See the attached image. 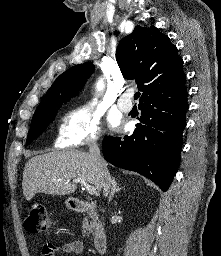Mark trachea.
Wrapping results in <instances>:
<instances>
[{"label": "trachea", "instance_id": "trachea-1", "mask_svg": "<svg viewBox=\"0 0 221 256\" xmlns=\"http://www.w3.org/2000/svg\"><path fill=\"white\" fill-rule=\"evenodd\" d=\"M140 97V92H136L134 94V99L137 100Z\"/></svg>", "mask_w": 221, "mask_h": 256}]
</instances>
